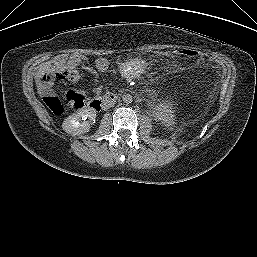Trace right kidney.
Segmentation results:
<instances>
[{
	"label": "right kidney",
	"instance_id": "right-kidney-1",
	"mask_svg": "<svg viewBox=\"0 0 257 257\" xmlns=\"http://www.w3.org/2000/svg\"><path fill=\"white\" fill-rule=\"evenodd\" d=\"M95 118L96 113L92 109H81L67 117L62 123V128L68 134H84L90 130V124Z\"/></svg>",
	"mask_w": 257,
	"mask_h": 257
}]
</instances>
